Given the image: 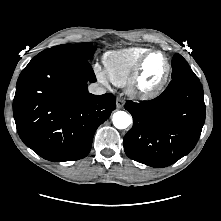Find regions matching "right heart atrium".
Wrapping results in <instances>:
<instances>
[{
	"instance_id": "d8ad5b80",
	"label": "right heart atrium",
	"mask_w": 221,
	"mask_h": 221,
	"mask_svg": "<svg viewBox=\"0 0 221 221\" xmlns=\"http://www.w3.org/2000/svg\"><path fill=\"white\" fill-rule=\"evenodd\" d=\"M94 73L96 75V77L103 83H107L108 82V77L105 73V71L98 65L95 64L93 67Z\"/></svg>"
}]
</instances>
